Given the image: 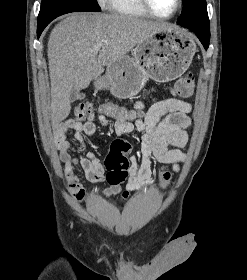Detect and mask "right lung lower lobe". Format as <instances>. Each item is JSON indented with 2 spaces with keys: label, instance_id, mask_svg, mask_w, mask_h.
Instances as JSON below:
<instances>
[{
  "label": "right lung lower lobe",
  "instance_id": "right-lung-lower-lobe-1",
  "mask_svg": "<svg viewBox=\"0 0 247 280\" xmlns=\"http://www.w3.org/2000/svg\"><path fill=\"white\" fill-rule=\"evenodd\" d=\"M47 25H42V26H37V37L39 38L42 31L44 30V28L46 27Z\"/></svg>",
  "mask_w": 247,
  "mask_h": 280
}]
</instances>
